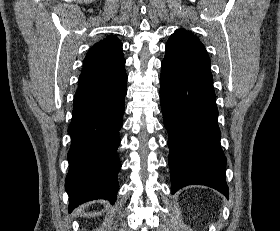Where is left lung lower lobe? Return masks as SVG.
Returning <instances> with one entry per match:
<instances>
[{
  "label": "left lung lower lobe",
  "mask_w": 280,
  "mask_h": 231,
  "mask_svg": "<svg viewBox=\"0 0 280 231\" xmlns=\"http://www.w3.org/2000/svg\"><path fill=\"white\" fill-rule=\"evenodd\" d=\"M161 111L168 131L172 194L193 184L228 198L226 157L220 147L218 110L211 78H178L162 66Z\"/></svg>",
  "instance_id": "left-lung-lower-lobe-1"
}]
</instances>
